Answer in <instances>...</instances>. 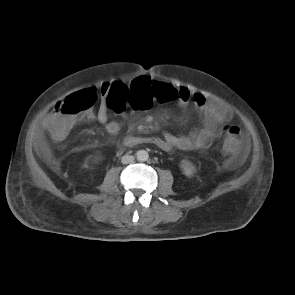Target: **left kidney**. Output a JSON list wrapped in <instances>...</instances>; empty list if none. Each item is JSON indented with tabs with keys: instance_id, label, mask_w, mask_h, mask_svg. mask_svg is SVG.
<instances>
[{
	"instance_id": "1",
	"label": "left kidney",
	"mask_w": 295,
	"mask_h": 295,
	"mask_svg": "<svg viewBox=\"0 0 295 295\" xmlns=\"http://www.w3.org/2000/svg\"><path fill=\"white\" fill-rule=\"evenodd\" d=\"M182 172L187 177H192L195 173V167L187 160H182L180 163Z\"/></svg>"
}]
</instances>
